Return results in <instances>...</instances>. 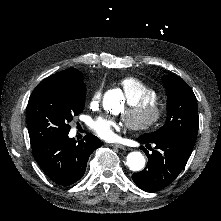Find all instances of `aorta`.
I'll return each mask as SVG.
<instances>
[{"instance_id":"aorta-1","label":"aorta","mask_w":221,"mask_h":221,"mask_svg":"<svg viewBox=\"0 0 221 221\" xmlns=\"http://www.w3.org/2000/svg\"><path fill=\"white\" fill-rule=\"evenodd\" d=\"M126 164L132 171H140L145 166V157L141 152H130L126 158Z\"/></svg>"}]
</instances>
